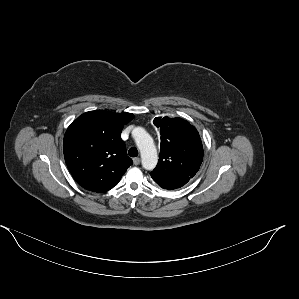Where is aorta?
<instances>
[{
    "label": "aorta",
    "instance_id": "762f6f07",
    "mask_svg": "<svg viewBox=\"0 0 299 299\" xmlns=\"http://www.w3.org/2000/svg\"><path fill=\"white\" fill-rule=\"evenodd\" d=\"M132 134L141 153L142 166L147 170H153L158 162L153 138L141 127L135 128Z\"/></svg>",
    "mask_w": 299,
    "mask_h": 299
}]
</instances>
